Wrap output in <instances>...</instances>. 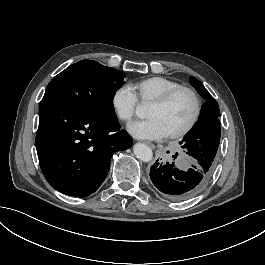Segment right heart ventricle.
Instances as JSON below:
<instances>
[{
	"mask_svg": "<svg viewBox=\"0 0 265 265\" xmlns=\"http://www.w3.org/2000/svg\"><path fill=\"white\" fill-rule=\"evenodd\" d=\"M130 88L142 103L151 104L169 91L182 85L162 76H151L131 83Z\"/></svg>",
	"mask_w": 265,
	"mask_h": 265,
	"instance_id": "obj_1",
	"label": "right heart ventricle"
}]
</instances>
